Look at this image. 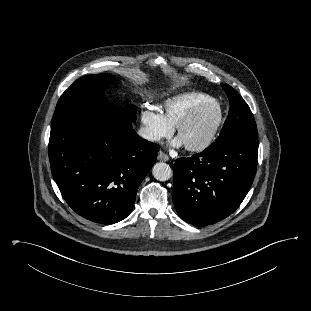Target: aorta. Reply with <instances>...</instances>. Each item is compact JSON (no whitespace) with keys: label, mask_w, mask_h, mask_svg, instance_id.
Segmentation results:
<instances>
[{"label":"aorta","mask_w":311,"mask_h":311,"mask_svg":"<svg viewBox=\"0 0 311 311\" xmlns=\"http://www.w3.org/2000/svg\"><path fill=\"white\" fill-rule=\"evenodd\" d=\"M152 174L155 179L159 181H166L172 177L173 172L168 164L159 162L153 166Z\"/></svg>","instance_id":"762f6f07"}]
</instances>
